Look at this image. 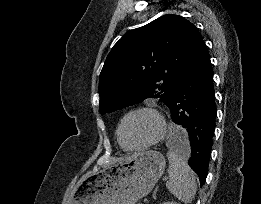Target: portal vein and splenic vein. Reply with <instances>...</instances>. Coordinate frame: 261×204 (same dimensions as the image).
Returning a JSON list of instances; mask_svg holds the SVG:
<instances>
[{"label":"portal vein and splenic vein","mask_w":261,"mask_h":204,"mask_svg":"<svg viewBox=\"0 0 261 204\" xmlns=\"http://www.w3.org/2000/svg\"><path fill=\"white\" fill-rule=\"evenodd\" d=\"M146 201H147V199H144L143 203H141V204H145V203H146Z\"/></svg>","instance_id":"18ae733b"}]
</instances>
